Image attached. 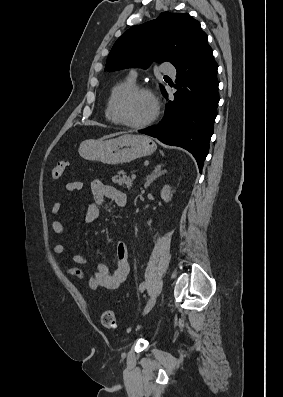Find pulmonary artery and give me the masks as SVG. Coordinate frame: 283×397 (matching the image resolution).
<instances>
[{"mask_svg": "<svg viewBox=\"0 0 283 397\" xmlns=\"http://www.w3.org/2000/svg\"><path fill=\"white\" fill-rule=\"evenodd\" d=\"M163 71H164L165 74H168V75H175V73H176L175 68H174L173 66H169V65H168V66H165L164 69H163ZM130 78H131L132 80H135V78H136V73H135L134 71L131 72Z\"/></svg>", "mask_w": 283, "mask_h": 397, "instance_id": "e3ab8cb5", "label": "pulmonary artery"}]
</instances>
